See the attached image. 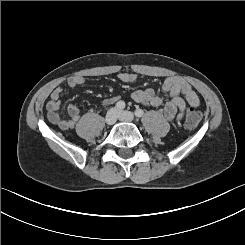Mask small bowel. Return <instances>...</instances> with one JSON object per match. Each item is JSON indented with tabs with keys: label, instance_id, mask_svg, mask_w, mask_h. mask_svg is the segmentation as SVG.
Instances as JSON below:
<instances>
[{
	"label": "small bowel",
	"instance_id": "c3829d8e",
	"mask_svg": "<svg viewBox=\"0 0 245 245\" xmlns=\"http://www.w3.org/2000/svg\"><path fill=\"white\" fill-rule=\"evenodd\" d=\"M118 78L124 83H132L136 80L133 73H120ZM85 82L82 76H73L67 80L69 88L75 89ZM162 91L169 96V100L165 102L163 96H160L152 88L135 90L131 97L133 101L145 106L159 107L164 104V115L169 121H180L183 118L186 104L197 107L200 99L195 93L191 85L178 76L168 77L162 83ZM62 88L56 87L50 95L47 102V118L49 122L57 125L62 130H69L75 127L80 119V111L74 104L67 107L68 118H62L59 114L61 106ZM118 96L105 99L103 105H111L119 102Z\"/></svg>",
	"mask_w": 245,
	"mask_h": 245
}]
</instances>
